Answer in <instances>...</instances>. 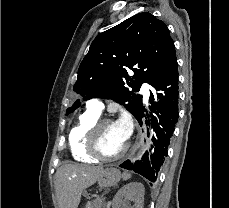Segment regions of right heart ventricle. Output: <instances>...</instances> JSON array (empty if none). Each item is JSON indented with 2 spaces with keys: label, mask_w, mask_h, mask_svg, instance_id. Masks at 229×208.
Masks as SVG:
<instances>
[{
  "label": "right heart ventricle",
  "mask_w": 229,
  "mask_h": 208,
  "mask_svg": "<svg viewBox=\"0 0 229 208\" xmlns=\"http://www.w3.org/2000/svg\"><path fill=\"white\" fill-rule=\"evenodd\" d=\"M100 114L87 109L80 115L76 124L71 128L68 136V145L72 159L77 163H94L97 158H90V153H84L83 149L88 148V129L91 124L99 118Z\"/></svg>",
  "instance_id": "right-heart-ventricle-1"
}]
</instances>
